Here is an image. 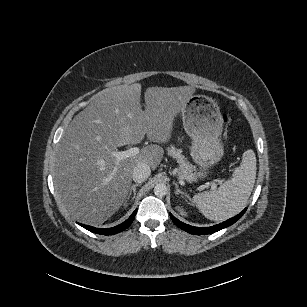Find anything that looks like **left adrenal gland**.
<instances>
[{
	"instance_id": "obj_1",
	"label": "left adrenal gland",
	"mask_w": 307,
	"mask_h": 307,
	"mask_svg": "<svg viewBox=\"0 0 307 307\" xmlns=\"http://www.w3.org/2000/svg\"><path fill=\"white\" fill-rule=\"evenodd\" d=\"M173 184L175 185V188H176V191H175V194L178 195V194H183L185 196H188L186 193H184L183 191H181L179 189V185L176 183V182H173Z\"/></svg>"
}]
</instances>
